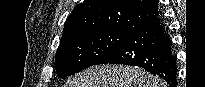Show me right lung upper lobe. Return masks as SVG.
Here are the masks:
<instances>
[{
  "instance_id": "1",
  "label": "right lung upper lobe",
  "mask_w": 205,
  "mask_h": 87,
  "mask_svg": "<svg viewBox=\"0 0 205 87\" xmlns=\"http://www.w3.org/2000/svg\"><path fill=\"white\" fill-rule=\"evenodd\" d=\"M158 17V0H84L66 19L61 41L103 29L134 32Z\"/></svg>"
}]
</instances>
